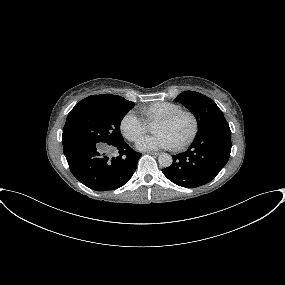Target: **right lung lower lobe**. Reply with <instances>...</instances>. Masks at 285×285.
Returning <instances> with one entry per match:
<instances>
[{"label": "right lung lower lobe", "instance_id": "1", "mask_svg": "<svg viewBox=\"0 0 285 285\" xmlns=\"http://www.w3.org/2000/svg\"><path fill=\"white\" fill-rule=\"evenodd\" d=\"M63 152L70 171L81 183L96 191H110L126 184L135 172L141 153L135 152L126 142L113 145L76 142L63 144ZM119 152L108 157L109 149Z\"/></svg>", "mask_w": 285, "mask_h": 285}]
</instances>
